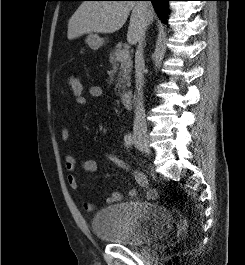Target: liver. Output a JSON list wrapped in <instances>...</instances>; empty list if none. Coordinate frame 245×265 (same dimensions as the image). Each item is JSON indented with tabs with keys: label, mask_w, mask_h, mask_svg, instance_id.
Segmentation results:
<instances>
[{
	"label": "liver",
	"mask_w": 245,
	"mask_h": 265,
	"mask_svg": "<svg viewBox=\"0 0 245 265\" xmlns=\"http://www.w3.org/2000/svg\"><path fill=\"white\" fill-rule=\"evenodd\" d=\"M130 11L127 41L136 44L142 27V15L138 2L132 1H84L69 19L67 37L72 40L83 34L114 33L123 27ZM153 15L152 9V19Z\"/></svg>",
	"instance_id": "1"
}]
</instances>
